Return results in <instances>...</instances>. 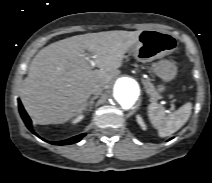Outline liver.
<instances>
[{
    "label": "liver",
    "mask_w": 212,
    "mask_h": 183,
    "mask_svg": "<svg viewBox=\"0 0 212 183\" xmlns=\"http://www.w3.org/2000/svg\"><path fill=\"white\" fill-rule=\"evenodd\" d=\"M139 31H107L72 36L42 48L33 58L21 90L25 110L35 123L62 124L86 110L96 84L119 74ZM96 56L92 70L85 51Z\"/></svg>",
    "instance_id": "obj_1"
}]
</instances>
